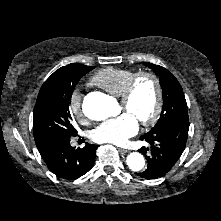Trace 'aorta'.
I'll list each match as a JSON object with an SVG mask.
<instances>
[{
  "instance_id": "762f6f07",
  "label": "aorta",
  "mask_w": 221,
  "mask_h": 221,
  "mask_svg": "<svg viewBox=\"0 0 221 221\" xmlns=\"http://www.w3.org/2000/svg\"><path fill=\"white\" fill-rule=\"evenodd\" d=\"M115 109V101L103 93L91 94L83 103V113L87 118L95 121L107 119L115 113ZM126 162L133 171H140L145 165L143 155L138 152L130 153Z\"/></svg>"
}]
</instances>
